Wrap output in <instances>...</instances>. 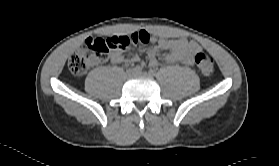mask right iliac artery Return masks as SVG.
Segmentation results:
<instances>
[{
	"instance_id": "right-iliac-artery-1",
	"label": "right iliac artery",
	"mask_w": 279,
	"mask_h": 166,
	"mask_svg": "<svg viewBox=\"0 0 279 166\" xmlns=\"http://www.w3.org/2000/svg\"><path fill=\"white\" fill-rule=\"evenodd\" d=\"M137 73L142 71V68L140 66H136L133 68Z\"/></svg>"
}]
</instances>
